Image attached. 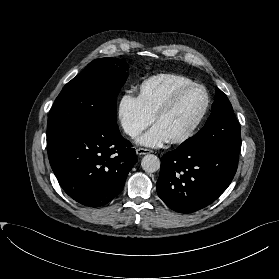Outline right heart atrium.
Here are the masks:
<instances>
[{
	"label": "right heart atrium",
	"mask_w": 279,
	"mask_h": 279,
	"mask_svg": "<svg viewBox=\"0 0 279 279\" xmlns=\"http://www.w3.org/2000/svg\"><path fill=\"white\" fill-rule=\"evenodd\" d=\"M116 118L123 132L131 138L138 136L153 121L140 98L130 93H124L119 97Z\"/></svg>",
	"instance_id": "d8ad5b80"
}]
</instances>
